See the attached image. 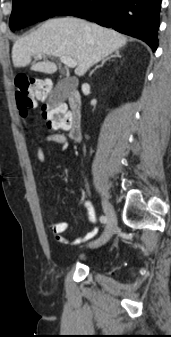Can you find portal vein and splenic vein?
Instances as JSON below:
<instances>
[{"mask_svg":"<svg viewBox=\"0 0 171 337\" xmlns=\"http://www.w3.org/2000/svg\"><path fill=\"white\" fill-rule=\"evenodd\" d=\"M38 57H42V55L40 54ZM60 60L63 64H65L68 68H75L77 65L76 60L72 59L69 56H61Z\"/></svg>","mask_w":171,"mask_h":337,"instance_id":"1","label":"portal vein and splenic vein"}]
</instances>
